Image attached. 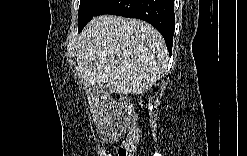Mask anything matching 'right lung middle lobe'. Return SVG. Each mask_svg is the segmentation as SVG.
Instances as JSON below:
<instances>
[{
    "mask_svg": "<svg viewBox=\"0 0 247 156\" xmlns=\"http://www.w3.org/2000/svg\"><path fill=\"white\" fill-rule=\"evenodd\" d=\"M108 0H81L78 13L79 32L84 26L98 14Z\"/></svg>",
    "mask_w": 247,
    "mask_h": 156,
    "instance_id": "dd1d6c3e",
    "label": "right lung middle lobe"
}]
</instances>
